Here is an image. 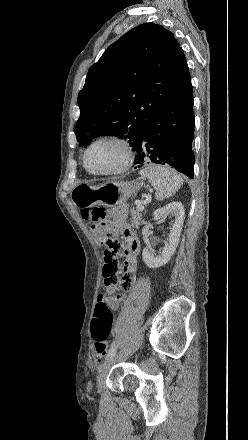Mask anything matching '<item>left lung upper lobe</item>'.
Returning a JSON list of instances; mask_svg holds the SVG:
<instances>
[{
	"mask_svg": "<svg viewBox=\"0 0 248 440\" xmlns=\"http://www.w3.org/2000/svg\"><path fill=\"white\" fill-rule=\"evenodd\" d=\"M190 82L183 50L170 31L154 23L133 28L88 71L78 95L79 145L114 135L134 148L150 120Z\"/></svg>",
	"mask_w": 248,
	"mask_h": 440,
	"instance_id": "1",
	"label": "left lung upper lobe"
}]
</instances>
